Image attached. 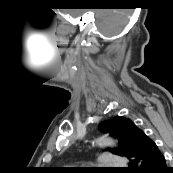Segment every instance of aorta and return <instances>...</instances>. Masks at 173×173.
<instances>
[{"mask_svg": "<svg viewBox=\"0 0 173 173\" xmlns=\"http://www.w3.org/2000/svg\"><path fill=\"white\" fill-rule=\"evenodd\" d=\"M97 144L102 147H106V146L113 147V146H116V140L106 135L99 138L97 141Z\"/></svg>", "mask_w": 173, "mask_h": 173, "instance_id": "1", "label": "aorta"}]
</instances>
